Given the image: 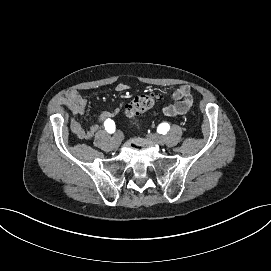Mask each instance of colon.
Instances as JSON below:
<instances>
[{
    "label": "colon",
    "instance_id": "colon-1",
    "mask_svg": "<svg viewBox=\"0 0 271 271\" xmlns=\"http://www.w3.org/2000/svg\"><path fill=\"white\" fill-rule=\"evenodd\" d=\"M158 101V96L154 94H144L135 97L126 105V114L130 117L142 114L151 109Z\"/></svg>",
    "mask_w": 271,
    "mask_h": 271
}]
</instances>
